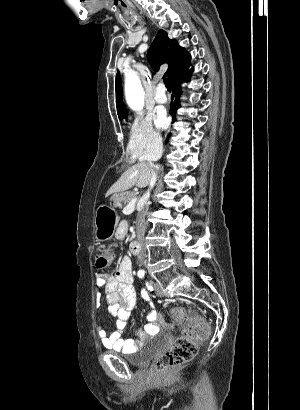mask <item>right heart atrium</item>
Instances as JSON below:
<instances>
[{"mask_svg": "<svg viewBox=\"0 0 300 410\" xmlns=\"http://www.w3.org/2000/svg\"><path fill=\"white\" fill-rule=\"evenodd\" d=\"M161 135L151 118L137 116L130 125L127 153L131 159L154 153L160 146Z\"/></svg>", "mask_w": 300, "mask_h": 410, "instance_id": "d8ad5b80", "label": "right heart atrium"}]
</instances>
